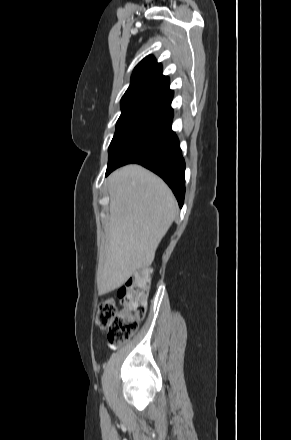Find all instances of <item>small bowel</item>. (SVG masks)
<instances>
[{"mask_svg":"<svg viewBox=\"0 0 291 440\" xmlns=\"http://www.w3.org/2000/svg\"><path fill=\"white\" fill-rule=\"evenodd\" d=\"M111 348H114V346L113 345H109Z\"/></svg>","mask_w":291,"mask_h":440,"instance_id":"obj_1","label":"small bowel"}]
</instances>
